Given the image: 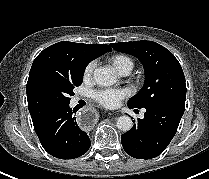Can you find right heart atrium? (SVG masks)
Here are the masks:
<instances>
[{
    "label": "right heart atrium",
    "instance_id": "1",
    "mask_svg": "<svg viewBox=\"0 0 209 179\" xmlns=\"http://www.w3.org/2000/svg\"><path fill=\"white\" fill-rule=\"evenodd\" d=\"M95 67H96L95 61H91L86 65V67L84 68V71H83V78L85 80H89L92 77Z\"/></svg>",
    "mask_w": 209,
    "mask_h": 179
}]
</instances>
